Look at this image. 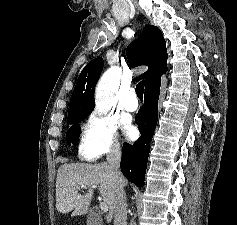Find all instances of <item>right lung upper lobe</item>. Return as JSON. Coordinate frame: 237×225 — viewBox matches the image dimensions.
<instances>
[{"instance_id": "obj_1", "label": "right lung upper lobe", "mask_w": 237, "mask_h": 225, "mask_svg": "<svg viewBox=\"0 0 237 225\" xmlns=\"http://www.w3.org/2000/svg\"><path fill=\"white\" fill-rule=\"evenodd\" d=\"M129 64L132 67L147 65L148 70L142 74L145 89L161 82V75L167 71L166 42L159 28L148 25L141 36L127 46ZM103 59L96 58L89 62L80 73L73 90L69 112L84 111L91 113L94 89L103 69Z\"/></svg>"}]
</instances>
